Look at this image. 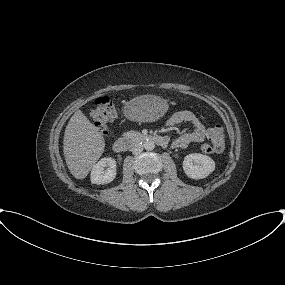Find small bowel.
I'll list each match as a JSON object with an SVG mask.
<instances>
[{"instance_id":"obj_1","label":"small bowel","mask_w":285,"mask_h":285,"mask_svg":"<svg viewBox=\"0 0 285 285\" xmlns=\"http://www.w3.org/2000/svg\"><path fill=\"white\" fill-rule=\"evenodd\" d=\"M183 123H190L193 129L183 133L172 140L175 148H186L193 143H200L208 137V131L201 120L191 111L183 110L172 114L166 121L168 126H179Z\"/></svg>"}]
</instances>
